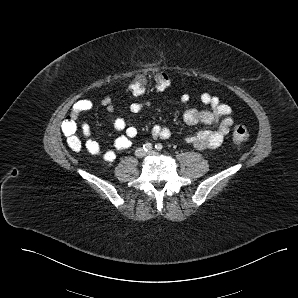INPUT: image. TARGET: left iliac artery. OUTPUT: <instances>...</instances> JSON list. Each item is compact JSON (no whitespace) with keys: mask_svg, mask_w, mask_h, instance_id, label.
<instances>
[{"mask_svg":"<svg viewBox=\"0 0 298 298\" xmlns=\"http://www.w3.org/2000/svg\"><path fill=\"white\" fill-rule=\"evenodd\" d=\"M155 148H156V150L161 151L162 148H163V146H162L161 143H157V144L155 145Z\"/></svg>","mask_w":298,"mask_h":298,"instance_id":"1","label":"left iliac artery"}]
</instances>
